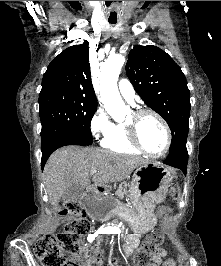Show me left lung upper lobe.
I'll list each match as a JSON object with an SVG mask.
<instances>
[{
	"label": "left lung upper lobe",
	"mask_w": 221,
	"mask_h": 266,
	"mask_svg": "<svg viewBox=\"0 0 221 266\" xmlns=\"http://www.w3.org/2000/svg\"><path fill=\"white\" fill-rule=\"evenodd\" d=\"M126 73L142 100L168 123L169 151L185 148L191 105L181 68L160 48L137 45L129 53Z\"/></svg>",
	"instance_id": "obj_1"
}]
</instances>
